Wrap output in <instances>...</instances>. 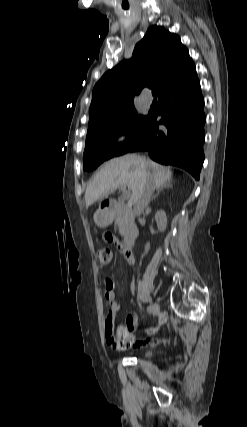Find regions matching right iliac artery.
Listing matches in <instances>:
<instances>
[{
  "label": "right iliac artery",
  "instance_id": "82829eb1",
  "mask_svg": "<svg viewBox=\"0 0 247 427\" xmlns=\"http://www.w3.org/2000/svg\"><path fill=\"white\" fill-rule=\"evenodd\" d=\"M152 309H153V307H152L151 305L147 307V311H148L149 313H151V312H152Z\"/></svg>",
  "mask_w": 247,
  "mask_h": 427
}]
</instances>
